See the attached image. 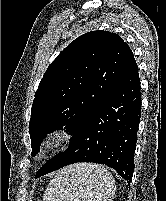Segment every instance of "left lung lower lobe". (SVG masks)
<instances>
[{"label": "left lung lower lobe", "mask_w": 166, "mask_h": 201, "mask_svg": "<svg viewBox=\"0 0 166 201\" xmlns=\"http://www.w3.org/2000/svg\"><path fill=\"white\" fill-rule=\"evenodd\" d=\"M141 116L140 79L134 60L128 71L72 135L68 149L46 162L35 178L77 162L105 164L128 184Z\"/></svg>", "instance_id": "left-lung-lower-lobe-1"}]
</instances>
